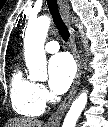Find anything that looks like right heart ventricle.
I'll use <instances>...</instances> for the list:
<instances>
[{"label": "right heart ventricle", "instance_id": "right-heart-ventricle-1", "mask_svg": "<svg viewBox=\"0 0 108 127\" xmlns=\"http://www.w3.org/2000/svg\"><path fill=\"white\" fill-rule=\"evenodd\" d=\"M36 84L16 68L10 79V100L15 112L22 116L34 117L42 114L44 102L36 91Z\"/></svg>", "mask_w": 108, "mask_h": 127}]
</instances>
